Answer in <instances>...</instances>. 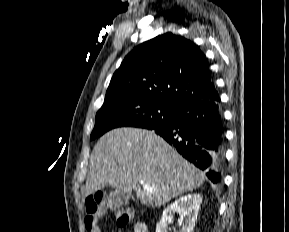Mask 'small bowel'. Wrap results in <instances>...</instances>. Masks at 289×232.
<instances>
[{
    "instance_id": "c3829d8e",
    "label": "small bowel",
    "mask_w": 289,
    "mask_h": 232,
    "mask_svg": "<svg viewBox=\"0 0 289 232\" xmlns=\"http://www.w3.org/2000/svg\"><path fill=\"white\" fill-rule=\"evenodd\" d=\"M130 232H148V229L144 223L136 222L131 226Z\"/></svg>"
}]
</instances>
